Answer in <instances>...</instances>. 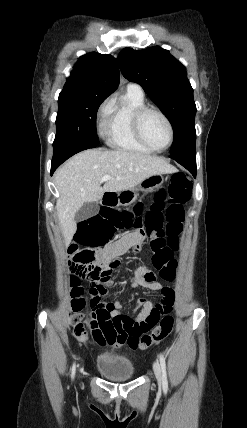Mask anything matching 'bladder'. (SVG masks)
I'll use <instances>...</instances> for the list:
<instances>
[{"instance_id": "bladder-1", "label": "bladder", "mask_w": 247, "mask_h": 428, "mask_svg": "<svg viewBox=\"0 0 247 428\" xmlns=\"http://www.w3.org/2000/svg\"><path fill=\"white\" fill-rule=\"evenodd\" d=\"M97 370L102 376L114 382L130 381L135 376L132 361L115 350H106L99 354Z\"/></svg>"}]
</instances>
